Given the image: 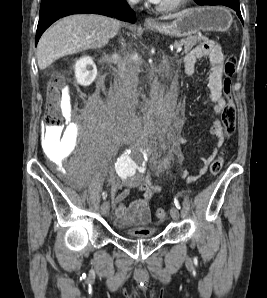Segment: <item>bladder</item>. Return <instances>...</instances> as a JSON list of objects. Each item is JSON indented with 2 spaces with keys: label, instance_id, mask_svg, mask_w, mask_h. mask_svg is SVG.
I'll return each instance as SVG.
<instances>
[{
  "label": "bladder",
  "instance_id": "1",
  "mask_svg": "<svg viewBox=\"0 0 267 298\" xmlns=\"http://www.w3.org/2000/svg\"><path fill=\"white\" fill-rule=\"evenodd\" d=\"M122 235L124 237L132 238V239H148L155 235V230L153 229L152 233H150L148 235H141V234H137L133 230L124 229V230H122Z\"/></svg>",
  "mask_w": 267,
  "mask_h": 298
}]
</instances>
